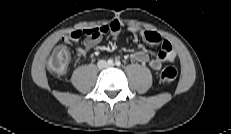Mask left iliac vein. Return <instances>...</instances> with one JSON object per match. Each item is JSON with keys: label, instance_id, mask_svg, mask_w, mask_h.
Returning a JSON list of instances; mask_svg holds the SVG:
<instances>
[{"label": "left iliac vein", "instance_id": "4c4485c4", "mask_svg": "<svg viewBox=\"0 0 231 134\" xmlns=\"http://www.w3.org/2000/svg\"><path fill=\"white\" fill-rule=\"evenodd\" d=\"M113 65H114V64H109L108 66H109V67H112Z\"/></svg>", "mask_w": 231, "mask_h": 134}]
</instances>
